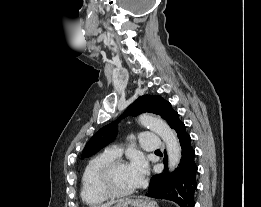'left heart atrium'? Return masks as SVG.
<instances>
[{
	"mask_svg": "<svg viewBox=\"0 0 261 207\" xmlns=\"http://www.w3.org/2000/svg\"><path fill=\"white\" fill-rule=\"evenodd\" d=\"M128 166L134 181V185L135 186L140 185L143 182L144 177L147 173L146 161L142 156L136 155L132 158Z\"/></svg>",
	"mask_w": 261,
	"mask_h": 207,
	"instance_id": "obj_1",
	"label": "left heart atrium"
}]
</instances>
